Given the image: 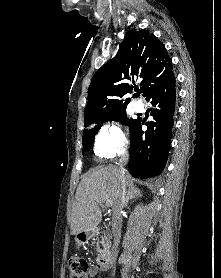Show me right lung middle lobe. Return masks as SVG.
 I'll list each match as a JSON object with an SVG mask.
<instances>
[{
    "label": "right lung middle lobe",
    "instance_id": "right-lung-middle-lobe-1",
    "mask_svg": "<svg viewBox=\"0 0 221 278\" xmlns=\"http://www.w3.org/2000/svg\"><path fill=\"white\" fill-rule=\"evenodd\" d=\"M113 120L120 121L121 123L128 125L129 128L135 122V120L133 119L129 120L126 117V109H123L112 114L100 116L95 120L91 121L90 123H85V127H89L91 125L92 127L84 129V134L82 138L83 153L91 147L94 141L95 134L98 132L100 127L103 125V123L106 121H113Z\"/></svg>",
    "mask_w": 221,
    "mask_h": 278
}]
</instances>
